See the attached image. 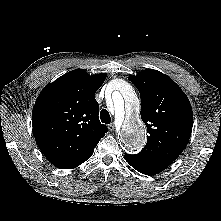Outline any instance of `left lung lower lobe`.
<instances>
[{
    "label": "left lung lower lobe",
    "mask_w": 221,
    "mask_h": 221,
    "mask_svg": "<svg viewBox=\"0 0 221 221\" xmlns=\"http://www.w3.org/2000/svg\"><path fill=\"white\" fill-rule=\"evenodd\" d=\"M125 159L134 169L146 175L158 174L168 167V165H165L162 162L147 159L137 154H125Z\"/></svg>",
    "instance_id": "1"
}]
</instances>
